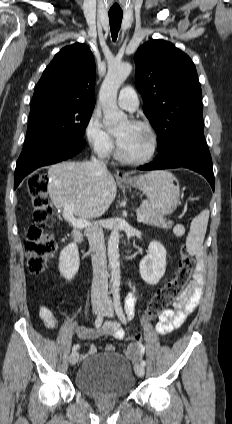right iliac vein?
Returning a JSON list of instances; mask_svg holds the SVG:
<instances>
[{
    "label": "right iliac vein",
    "mask_w": 232,
    "mask_h": 424,
    "mask_svg": "<svg viewBox=\"0 0 232 424\" xmlns=\"http://www.w3.org/2000/svg\"><path fill=\"white\" fill-rule=\"evenodd\" d=\"M103 310V304L102 303H97L93 305V313L98 315L102 312ZM79 359V353L78 351H73L70 355V364L71 365H75L77 363Z\"/></svg>",
    "instance_id": "right-iliac-vein-1"
}]
</instances>
